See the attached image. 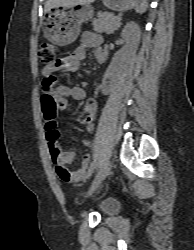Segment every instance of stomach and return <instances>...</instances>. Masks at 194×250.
Returning <instances> with one entry per match:
<instances>
[{
  "label": "stomach",
  "instance_id": "0dacf381",
  "mask_svg": "<svg viewBox=\"0 0 194 250\" xmlns=\"http://www.w3.org/2000/svg\"><path fill=\"white\" fill-rule=\"evenodd\" d=\"M140 0H103L104 5L115 11H126L137 7ZM93 8L89 5L77 9L53 7L46 13L44 37L58 46L73 43L83 22L92 19Z\"/></svg>",
  "mask_w": 194,
  "mask_h": 250
}]
</instances>
